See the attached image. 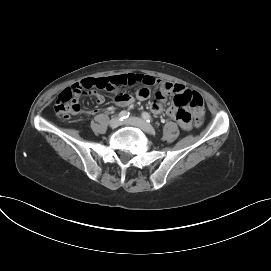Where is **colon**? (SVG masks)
Here are the masks:
<instances>
[{
    "label": "colon",
    "instance_id": "obj_1",
    "mask_svg": "<svg viewBox=\"0 0 271 271\" xmlns=\"http://www.w3.org/2000/svg\"><path fill=\"white\" fill-rule=\"evenodd\" d=\"M97 81V80H96ZM95 82L77 83L72 87L64 89L58 96L54 109L57 114L64 118L78 114L81 111L77 97L80 96L84 89L97 87ZM175 103L178 105H189L195 111L194 125L200 127L202 124V115L204 111V100L199 93L189 92L187 94L176 96Z\"/></svg>",
    "mask_w": 271,
    "mask_h": 271
}]
</instances>
